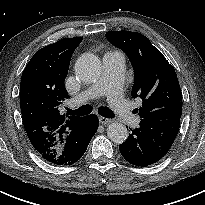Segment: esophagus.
Segmentation results:
<instances>
[{
	"label": "esophagus",
	"mask_w": 205,
	"mask_h": 205,
	"mask_svg": "<svg viewBox=\"0 0 205 205\" xmlns=\"http://www.w3.org/2000/svg\"><path fill=\"white\" fill-rule=\"evenodd\" d=\"M111 122H112L111 119L105 118L103 116H99V123L100 124L105 125V124H109Z\"/></svg>",
	"instance_id": "1"
}]
</instances>
